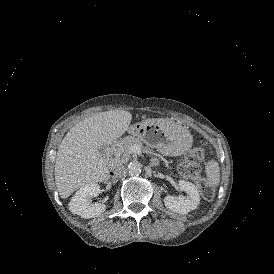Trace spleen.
Segmentation results:
<instances>
[{
  "mask_svg": "<svg viewBox=\"0 0 274 274\" xmlns=\"http://www.w3.org/2000/svg\"><path fill=\"white\" fill-rule=\"evenodd\" d=\"M206 171L211 181L216 183L219 180V167L217 163L211 162L207 165Z\"/></svg>",
  "mask_w": 274,
  "mask_h": 274,
  "instance_id": "spleen-1",
  "label": "spleen"
}]
</instances>
